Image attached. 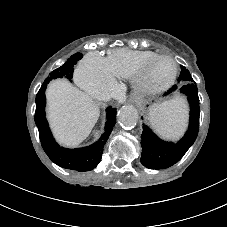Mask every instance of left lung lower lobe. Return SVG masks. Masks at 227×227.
<instances>
[{"instance_id":"obj_1","label":"left lung lower lobe","mask_w":227,"mask_h":227,"mask_svg":"<svg viewBox=\"0 0 227 227\" xmlns=\"http://www.w3.org/2000/svg\"><path fill=\"white\" fill-rule=\"evenodd\" d=\"M174 85L164 96L176 91ZM180 92L185 94L190 104V121L188 131L176 143L166 142L158 138L146 125H143L141 136V163L150 169H164L177 163L192 146L199 131V97L196 83L189 82L182 86Z\"/></svg>"}]
</instances>
